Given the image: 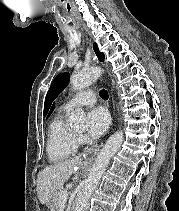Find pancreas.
<instances>
[{"label":"pancreas","instance_id":"cf45deb5","mask_svg":"<svg viewBox=\"0 0 179 211\" xmlns=\"http://www.w3.org/2000/svg\"><path fill=\"white\" fill-rule=\"evenodd\" d=\"M62 191H67V190H66V189L59 190V191L54 195V198H53V201H52V204H51L52 211H58L59 204H60V201H61L60 195H61Z\"/></svg>","mask_w":179,"mask_h":211}]
</instances>
